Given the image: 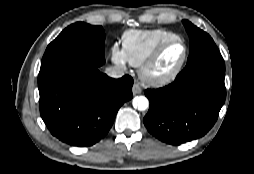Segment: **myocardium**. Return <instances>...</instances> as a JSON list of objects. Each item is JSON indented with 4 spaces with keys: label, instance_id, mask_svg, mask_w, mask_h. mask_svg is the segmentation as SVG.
Masks as SVG:
<instances>
[{
    "label": "myocardium",
    "instance_id": "f54148a6",
    "mask_svg": "<svg viewBox=\"0 0 254 174\" xmlns=\"http://www.w3.org/2000/svg\"><path fill=\"white\" fill-rule=\"evenodd\" d=\"M176 42L181 43L184 48V54L181 61L171 71L165 74L159 75L154 73V67L157 64L164 50ZM187 58H188V47L182 38L175 37V38L166 40L162 42L161 44H159L148 56V58L140 65L139 76L144 82L153 86H162V85L168 84L171 81H173L181 72V70L183 69L187 61Z\"/></svg>",
    "mask_w": 254,
    "mask_h": 174
}]
</instances>
